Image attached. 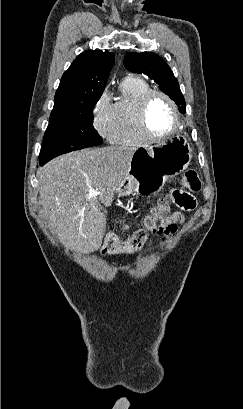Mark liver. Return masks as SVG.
<instances>
[{"label":"liver","instance_id":"6515ba94","mask_svg":"<svg viewBox=\"0 0 243 409\" xmlns=\"http://www.w3.org/2000/svg\"><path fill=\"white\" fill-rule=\"evenodd\" d=\"M135 147L107 146L68 153L37 171L43 215L71 250L90 252L101 245L104 207L130 170ZM99 192L91 197L89 189Z\"/></svg>","mask_w":243,"mask_h":409}]
</instances>
